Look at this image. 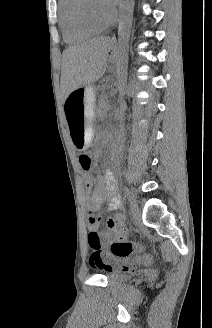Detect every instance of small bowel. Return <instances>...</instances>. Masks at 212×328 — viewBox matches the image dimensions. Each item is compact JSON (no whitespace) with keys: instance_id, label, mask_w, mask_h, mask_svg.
<instances>
[{"instance_id":"obj_1","label":"small bowel","mask_w":212,"mask_h":328,"mask_svg":"<svg viewBox=\"0 0 212 328\" xmlns=\"http://www.w3.org/2000/svg\"><path fill=\"white\" fill-rule=\"evenodd\" d=\"M84 171L85 189L89 194L87 199V208L91 213L90 228L97 230L100 224H103V236L107 242L127 237L125 227V217L121 212L112 217L103 218L95 214L101 209L103 203L107 201L110 211H118L122 208V200L117 192V182L112 170H107L104 175L93 178L90 170ZM92 217L94 219H92ZM132 265L126 267L131 269Z\"/></svg>"}]
</instances>
